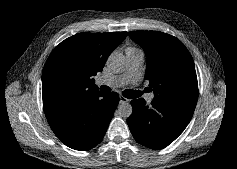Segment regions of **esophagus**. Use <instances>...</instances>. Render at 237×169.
I'll use <instances>...</instances> for the list:
<instances>
[{
	"instance_id": "esophagus-1",
	"label": "esophagus",
	"mask_w": 237,
	"mask_h": 169,
	"mask_svg": "<svg viewBox=\"0 0 237 169\" xmlns=\"http://www.w3.org/2000/svg\"><path fill=\"white\" fill-rule=\"evenodd\" d=\"M119 99H120V103H127L129 101L126 97L122 95L119 97Z\"/></svg>"
}]
</instances>
